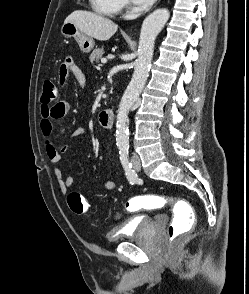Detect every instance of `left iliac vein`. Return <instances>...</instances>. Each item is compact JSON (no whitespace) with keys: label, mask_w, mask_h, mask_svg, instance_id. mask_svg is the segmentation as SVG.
Masks as SVG:
<instances>
[{"label":"left iliac vein","mask_w":249,"mask_h":294,"mask_svg":"<svg viewBox=\"0 0 249 294\" xmlns=\"http://www.w3.org/2000/svg\"><path fill=\"white\" fill-rule=\"evenodd\" d=\"M131 162H132L133 168L136 171H140L141 170V163H140V159H139V157H138L137 154H133V156L131 158Z\"/></svg>","instance_id":"4c4485c4"}]
</instances>
